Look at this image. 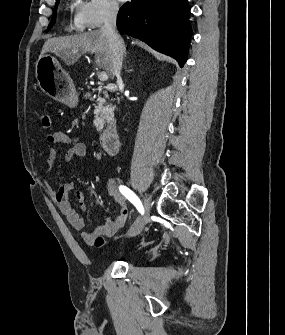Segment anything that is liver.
<instances>
[{"instance_id": "6515ba94", "label": "liver", "mask_w": 285, "mask_h": 335, "mask_svg": "<svg viewBox=\"0 0 285 335\" xmlns=\"http://www.w3.org/2000/svg\"><path fill=\"white\" fill-rule=\"evenodd\" d=\"M47 52L61 58L67 66L75 64L83 54H94L96 66L108 72V76L112 80L114 78L109 40L106 34H102L101 30L75 34V36L50 38V40L45 42L41 56H45Z\"/></svg>"}]
</instances>
